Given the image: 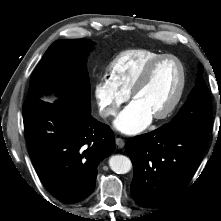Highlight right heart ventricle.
Here are the masks:
<instances>
[{"label": "right heart ventricle", "mask_w": 221, "mask_h": 221, "mask_svg": "<svg viewBox=\"0 0 221 221\" xmlns=\"http://www.w3.org/2000/svg\"><path fill=\"white\" fill-rule=\"evenodd\" d=\"M161 55L163 54L142 48L122 51L108 64L109 78L122 91L130 94L144 68Z\"/></svg>", "instance_id": "right-heart-ventricle-1"}]
</instances>
